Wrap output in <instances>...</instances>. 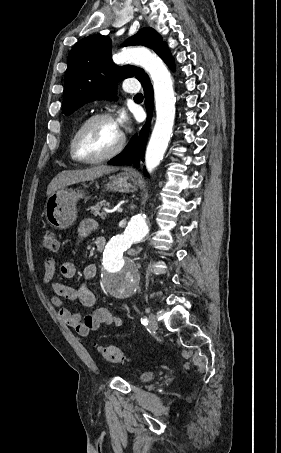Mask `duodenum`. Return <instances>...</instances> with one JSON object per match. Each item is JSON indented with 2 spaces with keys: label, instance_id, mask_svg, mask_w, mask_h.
<instances>
[{
  "label": "duodenum",
  "instance_id": "410a0bca",
  "mask_svg": "<svg viewBox=\"0 0 281 453\" xmlns=\"http://www.w3.org/2000/svg\"><path fill=\"white\" fill-rule=\"evenodd\" d=\"M106 240L102 237L98 238L96 241V248L99 252H102L105 249Z\"/></svg>",
  "mask_w": 281,
  "mask_h": 453
}]
</instances>
